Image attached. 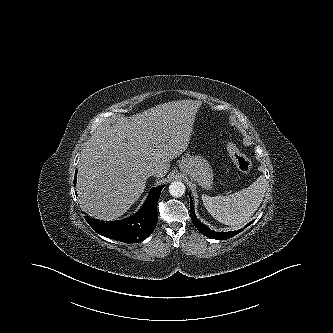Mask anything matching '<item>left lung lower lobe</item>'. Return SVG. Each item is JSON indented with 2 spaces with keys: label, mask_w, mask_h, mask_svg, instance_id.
<instances>
[{
  "label": "left lung lower lobe",
  "mask_w": 333,
  "mask_h": 333,
  "mask_svg": "<svg viewBox=\"0 0 333 333\" xmlns=\"http://www.w3.org/2000/svg\"><path fill=\"white\" fill-rule=\"evenodd\" d=\"M190 211H191V219L193 224L195 225V227L205 236L212 238V239H217V240H224V239H229L235 235H237L238 233H240L241 231H243V229H240L238 231H230V232H215L213 230H211L210 228L206 227V225H204L203 223H201L198 218L196 217L194 210H193V204H192V199L190 196ZM252 222H250L249 224L246 225L249 226Z\"/></svg>",
  "instance_id": "left-lung-lower-lobe-1"
}]
</instances>
